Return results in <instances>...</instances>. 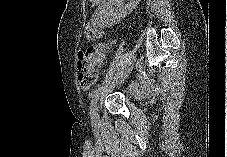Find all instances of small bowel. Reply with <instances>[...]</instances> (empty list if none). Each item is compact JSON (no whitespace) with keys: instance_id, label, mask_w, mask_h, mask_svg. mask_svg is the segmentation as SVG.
Here are the masks:
<instances>
[{"instance_id":"small-bowel-1","label":"small bowel","mask_w":227,"mask_h":157,"mask_svg":"<svg viewBox=\"0 0 227 157\" xmlns=\"http://www.w3.org/2000/svg\"><path fill=\"white\" fill-rule=\"evenodd\" d=\"M139 78L141 80L140 84L137 82L133 83L128 88V92L133 93L138 98H145L152 93L154 87H153V84L148 80L145 73L140 72Z\"/></svg>"}]
</instances>
